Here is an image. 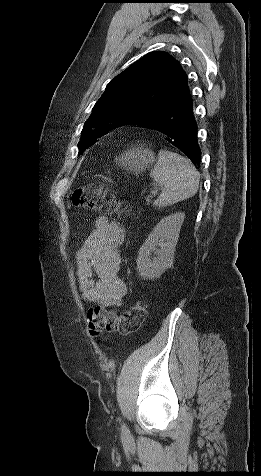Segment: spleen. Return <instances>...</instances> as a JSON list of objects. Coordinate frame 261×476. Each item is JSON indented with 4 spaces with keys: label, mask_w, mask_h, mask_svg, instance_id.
<instances>
[{
    "label": "spleen",
    "mask_w": 261,
    "mask_h": 476,
    "mask_svg": "<svg viewBox=\"0 0 261 476\" xmlns=\"http://www.w3.org/2000/svg\"><path fill=\"white\" fill-rule=\"evenodd\" d=\"M150 176L162 189L160 196L154 201V205L159 208L191 198L199 188L200 173L192 162L168 150L158 153Z\"/></svg>",
    "instance_id": "spleen-1"
}]
</instances>
